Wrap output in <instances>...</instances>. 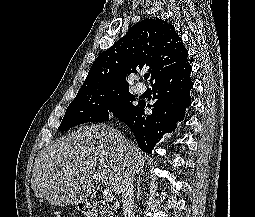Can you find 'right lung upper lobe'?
Segmentation results:
<instances>
[{"instance_id": "cb5924a9", "label": "right lung upper lobe", "mask_w": 255, "mask_h": 217, "mask_svg": "<svg viewBox=\"0 0 255 217\" xmlns=\"http://www.w3.org/2000/svg\"><path fill=\"white\" fill-rule=\"evenodd\" d=\"M187 57L174 26L162 19H145L95 59L78 93L128 87L126 75L144 67H149L152 82Z\"/></svg>"}]
</instances>
